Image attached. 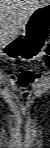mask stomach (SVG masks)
<instances>
[{"instance_id": "0dacf381", "label": "stomach", "mask_w": 50, "mask_h": 148, "mask_svg": "<svg viewBox=\"0 0 50 148\" xmlns=\"http://www.w3.org/2000/svg\"><path fill=\"white\" fill-rule=\"evenodd\" d=\"M23 42L18 46H9L8 41L1 53V60L30 62L44 53L50 39V6L37 9L28 19L23 28Z\"/></svg>"}]
</instances>
